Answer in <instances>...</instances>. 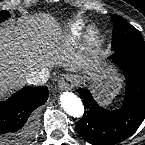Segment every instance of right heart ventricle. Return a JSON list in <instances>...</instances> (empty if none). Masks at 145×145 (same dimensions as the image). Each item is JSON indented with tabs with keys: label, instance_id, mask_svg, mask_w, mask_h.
Returning <instances> with one entry per match:
<instances>
[{
	"label": "right heart ventricle",
	"instance_id": "right-heart-ventricle-1",
	"mask_svg": "<svg viewBox=\"0 0 145 145\" xmlns=\"http://www.w3.org/2000/svg\"><path fill=\"white\" fill-rule=\"evenodd\" d=\"M83 23L81 21L72 22L66 31V34L61 38L60 45L65 46L73 42L79 33V30L82 28Z\"/></svg>",
	"mask_w": 145,
	"mask_h": 145
}]
</instances>
